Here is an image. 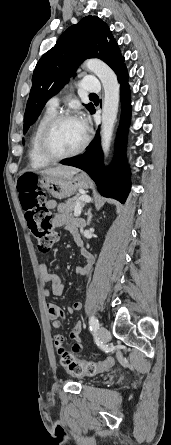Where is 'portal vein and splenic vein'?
<instances>
[{"mask_svg":"<svg viewBox=\"0 0 171 445\" xmlns=\"http://www.w3.org/2000/svg\"><path fill=\"white\" fill-rule=\"evenodd\" d=\"M81 200L84 201V202H90L91 199H90V197H88V196H83V197H81ZM81 211H82V208H81L80 205L78 204V205L76 206V208H75L74 216H75V217L80 216Z\"/></svg>","mask_w":171,"mask_h":445,"instance_id":"obj_1","label":"portal vein and splenic vein"}]
</instances>
